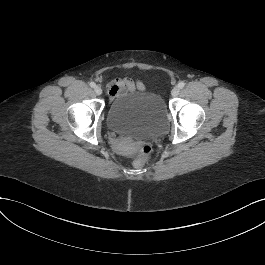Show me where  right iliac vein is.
Segmentation results:
<instances>
[{
    "mask_svg": "<svg viewBox=\"0 0 265 265\" xmlns=\"http://www.w3.org/2000/svg\"><path fill=\"white\" fill-rule=\"evenodd\" d=\"M94 91H95V93H96L97 95H101V94H102V89H101V87H99V86H95V87H94Z\"/></svg>",
    "mask_w": 265,
    "mask_h": 265,
    "instance_id": "1",
    "label": "right iliac vein"
}]
</instances>
